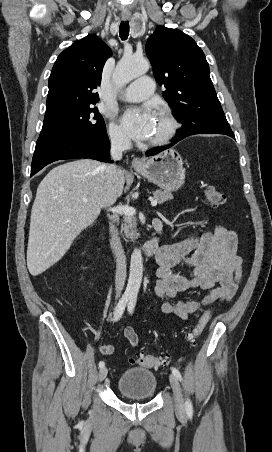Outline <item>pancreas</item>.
Segmentation results:
<instances>
[{
    "mask_svg": "<svg viewBox=\"0 0 272 452\" xmlns=\"http://www.w3.org/2000/svg\"><path fill=\"white\" fill-rule=\"evenodd\" d=\"M154 199L157 200L159 204H162L168 200H172L174 197L168 191L156 190L153 192ZM123 224V231L126 237L134 240L139 237V233L137 232V220L132 216H125Z\"/></svg>",
    "mask_w": 272,
    "mask_h": 452,
    "instance_id": "pancreas-1",
    "label": "pancreas"
}]
</instances>
